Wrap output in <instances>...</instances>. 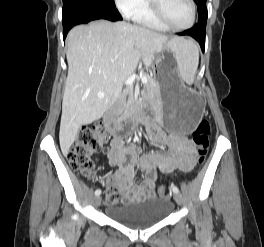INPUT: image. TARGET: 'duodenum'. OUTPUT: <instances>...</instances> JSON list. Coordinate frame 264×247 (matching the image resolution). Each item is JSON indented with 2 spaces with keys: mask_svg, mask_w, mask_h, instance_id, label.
I'll use <instances>...</instances> for the list:
<instances>
[{
  "mask_svg": "<svg viewBox=\"0 0 264 247\" xmlns=\"http://www.w3.org/2000/svg\"><path fill=\"white\" fill-rule=\"evenodd\" d=\"M117 106H111L104 114V123L108 132L119 137L141 123L149 121V116L140 109L134 110L125 120L118 121L116 118Z\"/></svg>",
  "mask_w": 264,
  "mask_h": 247,
  "instance_id": "duodenum-1",
  "label": "duodenum"
}]
</instances>
